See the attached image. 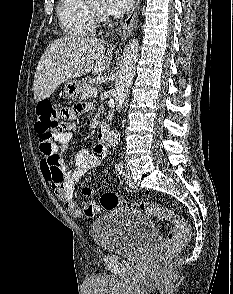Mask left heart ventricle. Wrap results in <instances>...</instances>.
Returning a JSON list of instances; mask_svg holds the SVG:
<instances>
[{"instance_id": "left-heart-ventricle-1", "label": "left heart ventricle", "mask_w": 233, "mask_h": 294, "mask_svg": "<svg viewBox=\"0 0 233 294\" xmlns=\"http://www.w3.org/2000/svg\"><path fill=\"white\" fill-rule=\"evenodd\" d=\"M103 8H104L103 6H100V7H99V6H97V7H95L94 9H95V10H97V11H102V10H103Z\"/></svg>"}]
</instances>
